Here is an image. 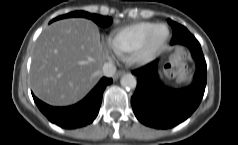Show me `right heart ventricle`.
<instances>
[{
	"instance_id": "1",
	"label": "right heart ventricle",
	"mask_w": 238,
	"mask_h": 145,
	"mask_svg": "<svg viewBox=\"0 0 238 145\" xmlns=\"http://www.w3.org/2000/svg\"><path fill=\"white\" fill-rule=\"evenodd\" d=\"M153 26L152 22H136L118 28L109 34L108 46L117 56L131 54Z\"/></svg>"
}]
</instances>
